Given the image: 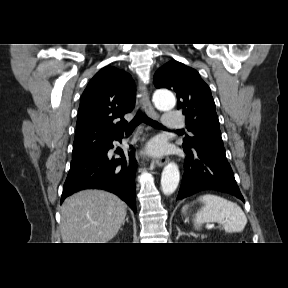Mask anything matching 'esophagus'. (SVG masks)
<instances>
[{
  "mask_svg": "<svg viewBox=\"0 0 288 288\" xmlns=\"http://www.w3.org/2000/svg\"><path fill=\"white\" fill-rule=\"evenodd\" d=\"M139 91L142 94V104L147 115L151 118L157 119L158 113L154 110L150 102L147 87L141 80L139 81ZM167 160H168L167 157H159V158H156L154 162L157 166L162 167L163 165L166 164Z\"/></svg>",
  "mask_w": 288,
  "mask_h": 288,
  "instance_id": "34e87169",
  "label": "esophagus"
}]
</instances>
